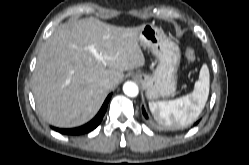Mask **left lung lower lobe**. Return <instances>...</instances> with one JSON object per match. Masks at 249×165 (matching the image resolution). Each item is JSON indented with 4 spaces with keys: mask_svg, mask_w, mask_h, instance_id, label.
Instances as JSON below:
<instances>
[{
    "mask_svg": "<svg viewBox=\"0 0 249 165\" xmlns=\"http://www.w3.org/2000/svg\"><path fill=\"white\" fill-rule=\"evenodd\" d=\"M142 113H143L144 117H145L146 119H148V115L146 114L144 108H142ZM197 123H198V122H196L195 125H196Z\"/></svg>",
    "mask_w": 249,
    "mask_h": 165,
    "instance_id": "obj_1",
    "label": "left lung lower lobe"
}]
</instances>
